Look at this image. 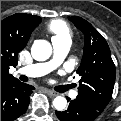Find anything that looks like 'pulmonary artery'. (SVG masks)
<instances>
[{"label": "pulmonary artery", "instance_id": "e3ab8cb5", "mask_svg": "<svg viewBox=\"0 0 121 121\" xmlns=\"http://www.w3.org/2000/svg\"><path fill=\"white\" fill-rule=\"evenodd\" d=\"M52 44L54 49V57L51 61L22 67L17 70V73L26 75L28 77H41L60 65L71 48V40H54ZM77 95L78 93L76 91L70 92V96L72 98H76Z\"/></svg>", "mask_w": 121, "mask_h": 121}]
</instances>
